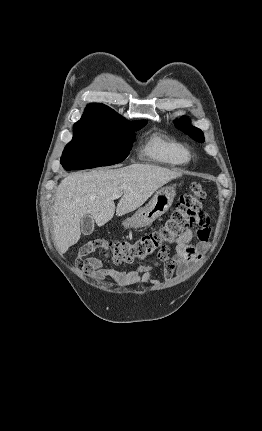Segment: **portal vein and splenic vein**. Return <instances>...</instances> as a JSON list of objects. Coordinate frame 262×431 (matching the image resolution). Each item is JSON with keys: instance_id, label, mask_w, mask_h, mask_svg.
Returning a JSON list of instances; mask_svg holds the SVG:
<instances>
[{"instance_id": "1", "label": "portal vein and splenic vein", "mask_w": 262, "mask_h": 431, "mask_svg": "<svg viewBox=\"0 0 262 431\" xmlns=\"http://www.w3.org/2000/svg\"><path fill=\"white\" fill-rule=\"evenodd\" d=\"M121 196H122V192H119V191H118V192H114V193H113L112 198H113V199H115V198H119V197H121Z\"/></svg>"}]
</instances>
